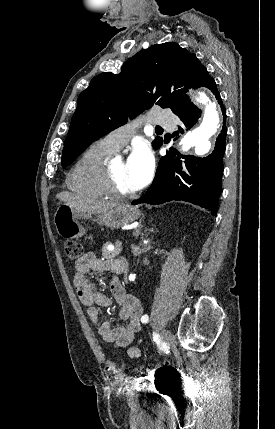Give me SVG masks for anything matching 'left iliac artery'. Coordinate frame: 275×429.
I'll list each match as a JSON object with an SVG mask.
<instances>
[{
	"instance_id": "left-iliac-artery-1",
	"label": "left iliac artery",
	"mask_w": 275,
	"mask_h": 429,
	"mask_svg": "<svg viewBox=\"0 0 275 429\" xmlns=\"http://www.w3.org/2000/svg\"><path fill=\"white\" fill-rule=\"evenodd\" d=\"M149 321V317H148V315H144V316H142V318H141V322L142 323H147Z\"/></svg>"
}]
</instances>
